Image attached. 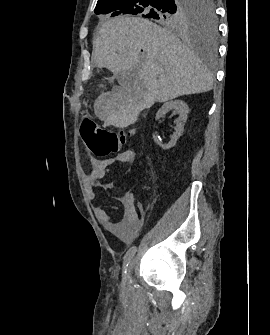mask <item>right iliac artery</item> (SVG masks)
Returning a JSON list of instances; mask_svg holds the SVG:
<instances>
[{
    "label": "right iliac artery",
    "instance_id": "right-iliac-artery-1",
    "mask_svg": "<svg viewBox=\"0 0 270 335\" xmlns=\"http://www.w3.org/2000/svg\"><path fill=\"white\" fill-rule=\"evenodd\" d=\"M137 248L136 246H132L127 253L124 256V263H123V279L126 276L127 273V267L130 263V260L132 259V257L134 256L135 252H136Z\"/></svg>",
    "mask_w": 270,
    "mask_h": 335
}]
</instances>
